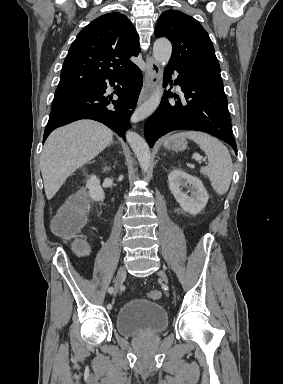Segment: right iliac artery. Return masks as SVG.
Returning <instances> with one entry per match:
<instances>
[{
    "label": "right iliac artery",
    "mask_w": 283,
    "mask_h": 384,
    "mask_svg": "<svg viewBox=\"0 0 283 384\" xmlns=\"http://www.w3.org/2000/svg\"><path fill=\"white\" fill-rule=\"evenodd\" d=\"M113 290H114L113 287H109V288H108V292H109L110 294L113 293ZM107 309H109V310L112 309V304L109 303V304L107 305Z\"/></svg>",
    "instance_id": "82829eb1"
}]
</instances>
